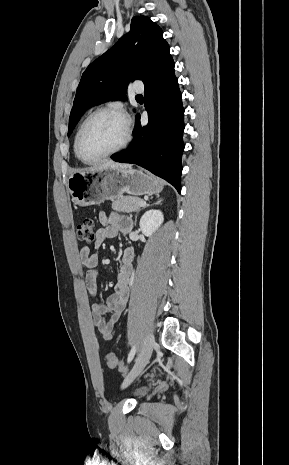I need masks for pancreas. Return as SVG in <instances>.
I'll list each match as a JSON object with an SVG mask.
<instances>
[{
    "mask_svg": "<svg viewBox=\"0 0 289 465\" xmlns=\"http://www.w3.org/2000/svg\"><path fill=\"white\" fill-rule=\"evenodd\" d=\"M142 201L138 197L124 196L113 201L112 209L117 212H138L141 208L139 204Z\"/></svg>",
    "mask_w": 289,
    "mask_h": 465,
    "instance_id": "1",
    "label": "pancreas"
}]
</instances>
